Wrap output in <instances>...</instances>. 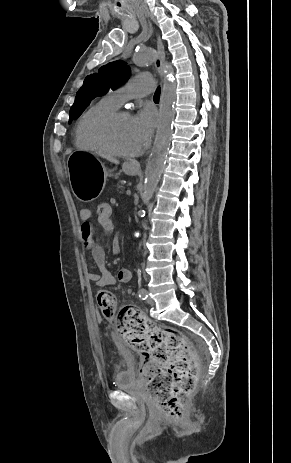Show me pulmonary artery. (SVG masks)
<instances>
[{"label":"pulmonary artery","instance_id":"pulmonary-artery-1","mask_svg":"<svg viewBox=\"0 0 291 463\" xmlns=\"http://www.w3.org/2000/svg\"><path fill=\"white\" fill-rule=\"evenodd\" d=\"M153 91V77L149 74H138L123 86L111 91L109 97L117 106H120L130 99L145 97Z\"/></svg>","mask_w":291,"mask_h":463}]
</instances>
